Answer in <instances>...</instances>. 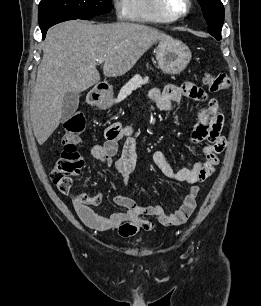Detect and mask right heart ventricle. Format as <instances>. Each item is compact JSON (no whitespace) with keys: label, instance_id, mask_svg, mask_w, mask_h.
<instances>
[{"label":"right heart ventricle","instance_id":"e07e8e85","mask_svg":"<svg viewBox=\"0 0 261 306\" xmlns=\"http://www.w3.org/2000/svg\"><path fill=\"white\" fill-rule=\"evenodd\" d=\"M128 17L137 22L168 23V19L158 7L157 0H128Z\"/></svg>","mask_w":261,"mask_h":306}]
</instances>
